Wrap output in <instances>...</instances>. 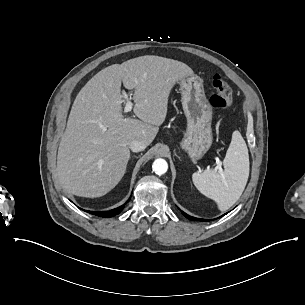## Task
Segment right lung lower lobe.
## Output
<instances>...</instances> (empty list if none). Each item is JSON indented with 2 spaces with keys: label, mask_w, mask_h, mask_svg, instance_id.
Here are the masks:
<instances>
[{
  "label": "right lung lower lobe",
  "mask_w": 305,
  "mask_h": 305,
  "mask_svg": "<svg viewBox=\"0 0 305 305\" xmlns=\"http://www.w3.org/2000/svg\"><path fill=\"white\" fill-rule=\"evenodd\" d=\"M124 206H125V204L118 208L112 209L110 211H103V212L87 211V212L97 215V216H101V217H112V216L119 214L123 210Z\"/></svg>",
  "instance_id": "1"
}]
</instances>
